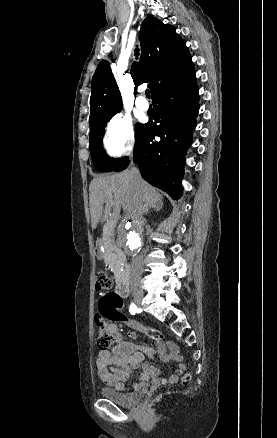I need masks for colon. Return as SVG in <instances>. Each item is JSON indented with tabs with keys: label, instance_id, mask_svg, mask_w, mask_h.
Returning a JSON list of instances; mask_svg holds the SVG:
<instances>
[{
	"label": "colon",
	"instance_id": "colon-1",
	"mask_svg": "<svg viewBox=\"0 0 277 438\" xmlns=\"http://www.w3.org/2000/svg\"><path fill=\"white\" fill-rule=\"evenodd\" d=\"M112 283V279L108 276L107 273L103 271H98L95 274V290L97 293L108 290V284ZM116 284V283H115ZM118 299V298H117ZM107 320L101 319L98 317V314L95 316V325L97 328L102 329L105 327V322ZM146 335L152 338L155 341H161L163 339L162 332L155 328H143L142 329ZM115 342V337L112 333L108 331H100L96 337V346L100 350L108 349ZM181 381L183 384H188L191 381V375L189 373L182 376ZM154 398H161L163 392L161 389H154L152 392Z\"/></svg>",
	"mask_w": 277,
	"mask_h": 438
}]
</instances>
